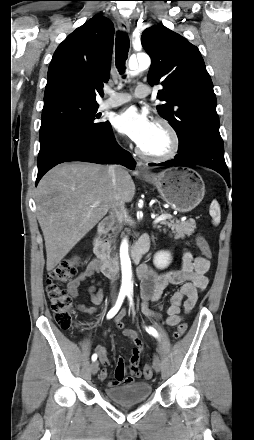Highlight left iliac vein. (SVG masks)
<instances>
[{"mask_svg": "<svg viewBox=\"0 0 254 440\" xmlns=\"http://www.w3.org/2000/svg\"><path fill=\"white\" fill-rule=\"evenodd\" d=\"M153 368L156 372H160L162 369V363L159 356H154L153 358Z\"/></svg>", "mask_w": 254, "mask_h": 440, "instance_id": "obj_1", "label": "left iliac vein"}]
</instances>
